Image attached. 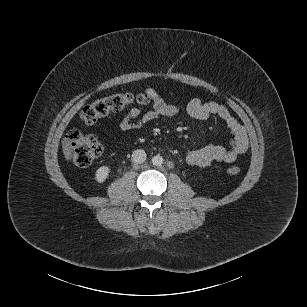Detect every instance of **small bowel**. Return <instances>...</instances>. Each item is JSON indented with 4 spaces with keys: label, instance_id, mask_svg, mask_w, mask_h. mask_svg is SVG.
<instances>
[{
    "label": "small bowel",
    "instance_id": "small-bowel-1",
    "mask_svg": "<svg viewBox=\"0 0 307 307\" xmlns=\"http://www.w3.org/2000/svg\"><path fill=\"white\" fill-rule=\"evenodd\" d=\"M146 94L153 102L152 108L145 113H142L139 107L131 108L118 123L120 131L137 130L160 117H171L179 113L180 109L177 105L165 102L153 88H147ZM186 110L190 117L200 121L218 117L225 123L233 136L228 148L218 145H206L191 150L186 156L189 164L206 167L215 162L232 163L247 152L249 139L246 130L225 106L213 101L203 102L198 98H194L189 101Z\"/></svg>",
    "mask_w": 307,
    "mask_h": 307
}]
</instances>
